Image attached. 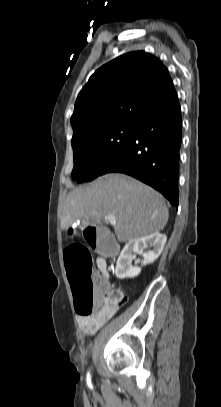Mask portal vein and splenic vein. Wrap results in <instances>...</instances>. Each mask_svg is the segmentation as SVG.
Here are the masks:
<instances>
[{"label":"portal vein and splenic vein","instance_id":"1","mask_svg":"<svg viewBox=\"0 0 221 407\" xmlns=\"http://www.w3.org/2000/svg\"><path fill=\"white\" fill-rule=\"evenodd\" d=\"M105 218L108 219V220H110L111 222H115V221H116L115 216L112 215V214L107 215Z\"/></svg>","mask_w":221,"mask_h":407}]
</instances>
